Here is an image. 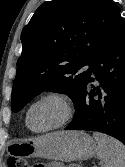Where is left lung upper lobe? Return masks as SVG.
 <instances>
[{"mask_svg":"<svg viewBox=\"0 0 125 167\" xmlns=\"http://www.w3.org/2000/svg\"><path fill=\"white\" fill-rule=\"evenodd\" d=\"M113 0H53L42 4L21 33L22 54L12 89L18 112L46 89L66 90L74 104L87 83L103 39L120 15Z\"/></svg>","mask_w":125,"mask_h":167,"instance_id":"1","label":"left lung upper lobe"}]
</instances>
